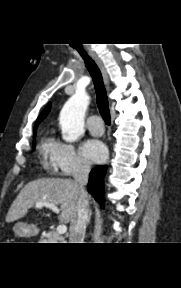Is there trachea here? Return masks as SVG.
Wrapping results in <instances>:
<instances>
[{"instance_id":"1","label":"trachea","mask_w":181,"mask_h":288,"mask_svg":"<svg viewBox=\"0 0 181 288\" xmlns=\"http://www.w3.org/2000/svg\"><path fill=\"white\" fill-rule=\"evenodd\" d=\"M79 54L84 59L85 65L93 79L96 92L97 105L100 111V114L107 125H110L111 118L108 106V98L106 90L103 84V79L101 72L95 62L88 56V54L82 48H76Z\"/></svg>"}]
</instances>
